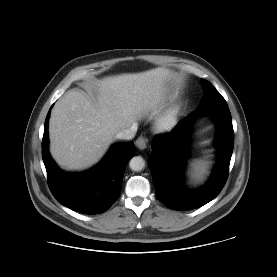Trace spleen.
<instances>
[{
	"label": "spleen",
	"instance_id": "spleen-1",
	"mask_svg": "<svg viewBox=\"0 0 277 277\" xmlns=\"http://www.w3.org/2000/svg\"><path fill=\"white\" fill-rule=\"evenodd\" d=\"M205 173V163L200 159H194L190 162V174L195 180H201Z\"/></svg>",
	"mask_w": 277,
	"mask_h": 277
}]
</instances>
